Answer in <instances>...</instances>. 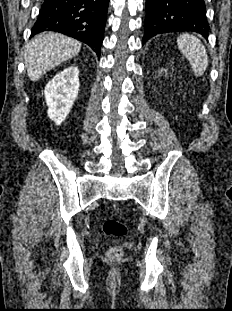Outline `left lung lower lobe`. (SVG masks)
<instances>
[{
  "label": "left lung lower lobe",
  "instance_id": "left-lung-lower-lobe-1",
  "mask_svg": "<svg viewBox=\"0 0 232 311\" xmlns=\"http://www.w3.org/2000/svg\"><path fill=\"white\" fill-rule=\"evenodd\" d=\"M178 31H193L207 38L209 24L203 0H146L143 44L157 34Z\"/></svg>",
  "mask_w": 232,
  "mask_h": 311
}]
</instances>
